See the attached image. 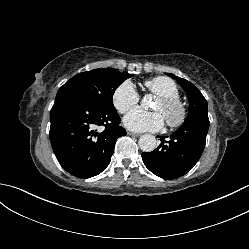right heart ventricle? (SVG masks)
Returning a JSON list of instances; mask_svg holds the SVG:
<instances>
[{"instance_id": "right-heart-ventricle-1", "label": "right heart ventricle", "mask_w": 249, "mask_h": 249, "mask_svg": "<svg viewBox=\"0 0 249 249\" xmlns=\"http://www.w3.org/2000/svg\"><path fill=\"white\" fill-rule=\"evenodd\" d=\"M144 87L158 97H179V88L174 80L166 76H157L144 81Z\"/></svg>"}]
</instances>
